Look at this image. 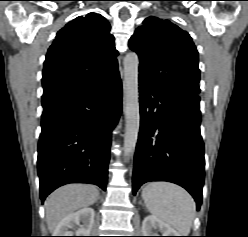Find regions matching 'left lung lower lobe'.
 I'll return each mask as SVG.
<instances>
[{
	"instance_id": "0a47b994",
	"label": "left lung lower lobe",
	"mask_w": 248,
	"mask_h": 237,
	"mask_svg": "<svg viewBox=\"0 0 248 237\" xmlns=\"http://www.w3.org/2000/svg\"><path fill=\"white\" fill-rule=\"evenodd\" d=\"M140 132L134 157L133 192L149 181H168L202 202L204 144L198 95L165 92L139 79Z\"/></svg>"
}]
</instances>
